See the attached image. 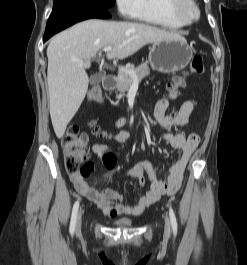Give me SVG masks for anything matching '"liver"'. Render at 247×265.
<instances>
[{
    "label": "liver",
    "instance_id": "obj_1",
    "mask_svg": "<svg viewBox=\"0 0 247 265\" xmlns=\"http://www.w3.org/2000/svg\"><path fill=\"white\" fill-rule=\"evenodd\" d=\"M181 37L150 25L90 19L75 24L52 38L47 48L48 95L55 134L62 138L68 123L81 106L88 90L86 69L106 46L107 58L124 59L148 43Z\"/></svg>",
    "mask_w": 247,
    "mask_h": 265
}]
</instances>
